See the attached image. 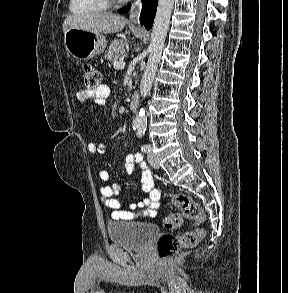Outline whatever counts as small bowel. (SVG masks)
Instances as JSON below:
<instances>
[{
	"instance_id": "1",
	"label": "small bowel",
	"mask_w": 288,
	"mask_h": 293,
	"mask_svg": "<svg viewBox=\"0 0 288 293\" xmlns=\"http://www.w3.org/2000/svg\"><path fill=\"white\" fill-rule=\"evenodd\" d=\"M110 95V89L107 85H101L97 90L90 91L81 89L77 92V98L80 102H92L98 106H106ZM88 151L93 155H105L109 152V146L104 143L96 144L90 142ZM139 165L141 173V188L147 194V197L131 202L128 206L122 205L115 197L120 191L117 184L109 183V174L102 170L99 177L105 185L101 189L102 199L106 207L112 209L111 217L114 220H132L136 217H155L159 208L160 191L155 187L151 171L143 162L142 155L132 152L126 157V172L132 174L135 166Z\"/></svg>"
}]
</instances>
